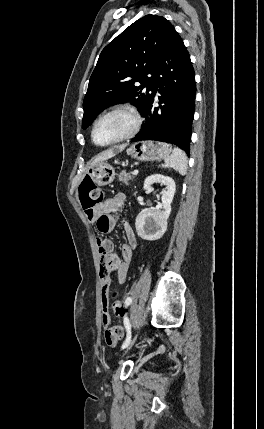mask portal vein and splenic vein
Wrapping results in <instances>:
<instances>
[{
	"label": "portal vein and splenic vein",
	"instance_id": "obj_1",
	"mask_svg": "<svg viewBox=\"0 0 264 429\" xmlns=\"http://www.w3.org/2000/svg\"><path fill=\"white\" fill-rule=\"evenodd\" d=\"M138 172H139V171H138L137 169H136V170H134V171H133V175H135V176H136V175H138Z\"/></svg>",
	"mask_w": 264,
	"mask_h": 429
}]
</instances>
